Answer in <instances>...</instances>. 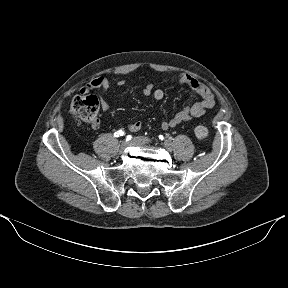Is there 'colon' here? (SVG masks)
<instances>
[{"label": "colon", "mask_w": 288, "mask_h": 288, "mask_svg": "<svg viewBox=\"0 0 288 288\" xmlns=\"http://www.w3.org/2000/svg\"><path fill=\"white\" fill-rule=\"evenodd\" d=\"M98 99L94 95L81 94L73 98L70 105V113L77 119L92 124L96 122L98 112ZM206 126L198 125L194 129L197 138L203 139L209 136Z\"/></svg>", "instance_id": "1"}]
</instances>
